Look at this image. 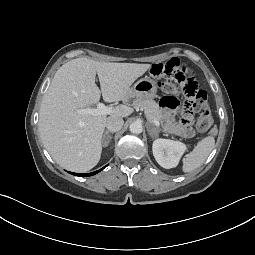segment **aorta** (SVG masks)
I'll use <instances>...</instances> for the list:
<instances>
[{"label": "aorta", "mask_w": 255, "mask_h": 255, "mask_svg": "<svg viewBox=\"0 0 255 255\" xmlns=\"http://www.w3.org/2000/svg\"><path fill=\"white\" fill-rule=\"evenodd\" d=\"M130 132L133 134H140L143 130L142 124L140 122H133L130 124Z\"/></svg>", "instance_id": "aorta-1"}]
</instances>
